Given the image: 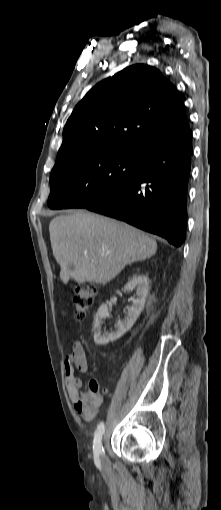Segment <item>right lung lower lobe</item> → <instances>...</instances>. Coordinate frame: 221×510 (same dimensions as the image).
<instances>
[{
  "label": "right lung lower lobe",
  "instance_id": "right-lung-lower-lobe-1",
  "mask_svg": "<svg viewBox=\"0 0 221 510\" xmlns=\"http://www.w3.org/2000/svg\"><path fill=\"white\" fill-rule=\"evenodd\" d=\"M192 131L149 145L138 172L86 209L159 235L176 247L185 240Z\"/></svg>",
  "mask_w": 221,
  "mask_h": 510
}]
</instances>
